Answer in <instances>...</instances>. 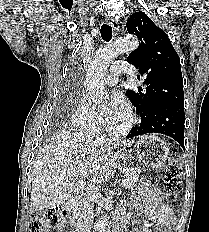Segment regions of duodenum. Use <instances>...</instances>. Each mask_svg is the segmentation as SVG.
<instances>
[{"mask_svg":"<svg viewBox=\"0 0 209 232\" xmlns=\"http://www.w3.org/2000/svg\"><path fill=\"white\" fill-rule=\"evenodd\" d=\"M79 205L78 198H72L64 207V211L62 214V224L61 228L62 232H80V226L76 217V210ZM122 224L117 223L112 232H121Z\"/></svg>","mask_w":209,"mask_h":232,"instance_id":"duodenum-1","label":"duodenum"}]
</instances>
